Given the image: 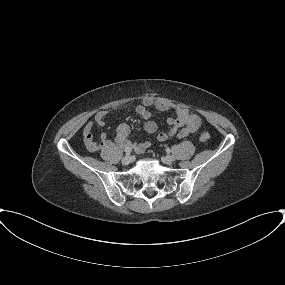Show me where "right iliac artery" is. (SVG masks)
Instances as JSON below:
<instances>
[{
	"label": "right iliac artery",
	"instance_id": "obj_1",
	"mask_svg": "<svg viewBox=\"0 0 285 285\" xmlns=\"http://www.w3.org/2000/svg\"><path fill=\"white\" fill-rule=\"evenodd\" d=\"M124 151H125L126 155H130V153H131V149H125Z\"/></svg>",
	"mask_w": 285,
	"mask_h": 285
}]
</instances>
